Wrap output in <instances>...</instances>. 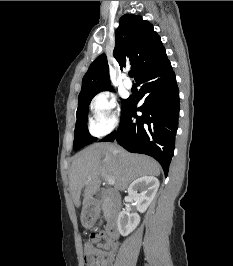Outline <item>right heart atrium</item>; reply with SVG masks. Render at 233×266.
Returning a JSON list of instances; mask_svg holds the SVG:
<instances>
[{"label": "right heart atrium", "instance_id": "d8ad5b80", "mask_svg": "<svg viewBox=\"0 0 233 266\" xmlns=\"http://www.w3.org/2000/svg\"><path fill=\"white\" fill-rule=\"evenodd\" d=\"M90 132L95 136H104L114 130L119 123V104L110 92L98 93L91 101Z\"/></svg>", "mask_w": 233, "mask_h": 266}]
</instances>
